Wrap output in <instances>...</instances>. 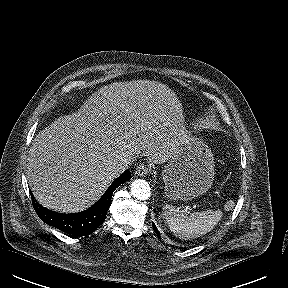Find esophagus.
<instances>
[{
  "mask_svg": "<svg viewBox=\"0 0 288 288\" xmlns=\"http://www.w3.org/2000/svg\"><path fill=\"white\" fill-rule=\"evenodd\" d=\"M150 171V168L147 166V165H140L137 167L136 171H135V174L137 176H145L146 174H148Z\"/></svg>",
  "mask_w": 288,
  "mask_h": 288,
  "instance_id": "obj_1",
  "label": "esophagus"
}]
</instances>
